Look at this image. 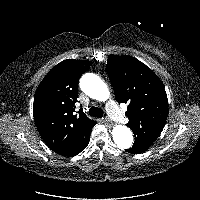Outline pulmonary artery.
<instances>
[{
  "label": "pulmonary artery",
  "instance_id": "pulmonary-artery-1",
  "mask_svg": "<svg viewBox=\"0 0 200 200\" xmlns=\"http://www.w3.org/2000/svg\"><path fill=\"white\" fill-rule=\"evenodd\" d=\"M108 111L109 114L118 122H124L125 116L123 113L120 112V110L116 107V104L114 101H111L108 104Z\"/></svg>",
  "mask_w": 200,
  "mask_h": 200
}]
</instances>
